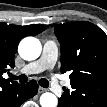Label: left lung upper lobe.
<instances>
[{"mask_svg": "<svg viewBox=\"0 0 107 107\" xmlns=\"http://www.w3.org/2000/svg\"><path fill=\"white\" fill-rule=\"evenodd\" d=\"M54 31L61 43V72L69 71L71 84L95 90L106 99V34L86 21L58 24Z\"/></svg>", "mask_w": 107, "mask_h": 107, "instance_id": "left-lung-upper-lobe-1", "label": "left lung upper lobe"}]
</instances>
